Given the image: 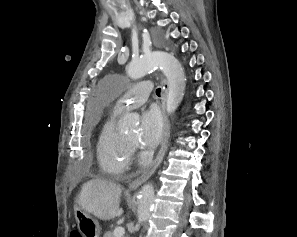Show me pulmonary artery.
<instances>
[{"label":"pulmonary artery","instance_id":"obj_1","mask_svg":"<svg viewBox=\"0 0 297 237\" xmlns=\"http://www.w3.org/2000/svg\"><path fill=\"white\" fill-rule=\"evenodd\" d=\"M153 86L149 80H144L131 86L124 96L121 105L116 106V111L120 112L125 107H137L146 102Z\"/></svg>","mask_w":297,"mask_h":237}]
</instances>
